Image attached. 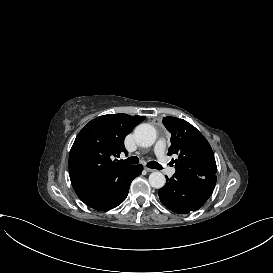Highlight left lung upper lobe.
Masks as SVG:
<instances>
[{
	"instance_id": "5c2ea615",
	"label": "left lung upper lobe",
	"mask_w": 273,
	"mask_h": 273,
	"mask_svg": "<svg viewBox=\"0 0 273 273\" xmlns=\"http://www.w3.org/2000/svg\"><path fill=\"white\" fill-rule=\"evenodd\" d=\"M162 123L171 133L168 155L177 154L176 172L206 178L217 172L214 153L206 138L193 125L175 117H164Z\"/></svg>"
}]
</instances>
